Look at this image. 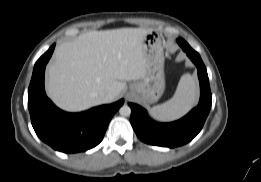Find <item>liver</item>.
Returning <instances> with one entry per match:
<instances>
[{
  "mask_svg": "<svg viewBox=\"0 0 261 182\" xmlns=\"http://www.w3.org/2000/svg\"><path fill=\"white\" fill-rule=\"evenodd\" d=\"M151 29L90 31L60 44L48 67L47 93L63 110L78 112L114 101L126 81L146 75L142 44ZM110 93V98L106 94Z\"/></svg>",
  "mask_w": 261,
  "mask_h": 182,
  "instance_id": "obj_1",
  "label": "liver"
}]
</instances>
